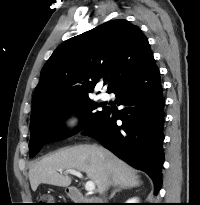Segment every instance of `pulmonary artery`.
<instances>
[{"instance_id": "pulmonary-artery-1", "label": "pulmonary artery", "mask_w": 200, "mask_h": 205, "mask_svg": "<svg viewBox=\"0 0 200 205\" xmlns=\"http://www.w3.org/2000/svg\"><path fill=\"white\" fill-rule=\"evenodd\" d=\"M100 98H101L102 100H107V99L109 98V95H108L105 91H102V92L100 93Z\"/></svg>"}]
</instances>
